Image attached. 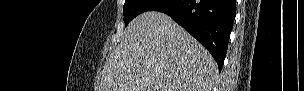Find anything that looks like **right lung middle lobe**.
I'll use <instances>...</instances> for the list:
<instances>
[{"instance_id":"1","label":"right lung middle lobe","mask_w":304,"mask_h":91,"mask_svg":"<svg viewBox=\"0 0 304 91\" xmlns=\"http://www.w3.org/2000/svg\"><path fill=\"white\" fill-rule=\"evenodd\" d=\"M154 0H125L123 7L124 23H128L136 16L146 11Z\"/></svg>"}]
</instances>
